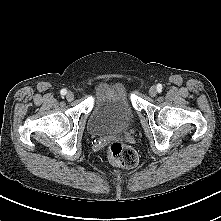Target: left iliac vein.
Here are the masks:
<instances>
[{
	"instance_id": "obj_1",
	"label": "left iliac vein",
	"mask_w": 221,
	"mask_h": 221,
	"mask_svg": "<svg viewBox=\"0 0 221 221\" xmlns=\"http://www.w3.org/2000/svg\"><path fill=\"white\" fill-rule=\"evenodd\" d=\"M149 94H150L151 97H155L158 94L157 87L156 86H152L149 89Z\"/></svg>"
}]
</instances>
